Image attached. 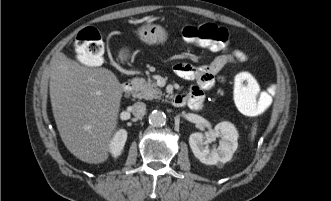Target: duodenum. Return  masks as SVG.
<instances>
[{
	"label": "duodenum",
	"mask_w": 331,
	"mask_h": 201,
	"mask_svg": "<svg viewBox=\"0 0 331 201\" xmlns=\"http://www.w3.org/2000/svg\"><path fill=\"white\" fill-rule=\"evenodd\" d=\"M133 88V83L130 82V81H125L122 83L121 85V90L124 94H128L131 92ZM171 103L174 105V106H181L183 104V97L179 94H176V95H172L171 97Z\"/></svg>",
	"instance_id": "duodenum-1"
}]
</instances>
